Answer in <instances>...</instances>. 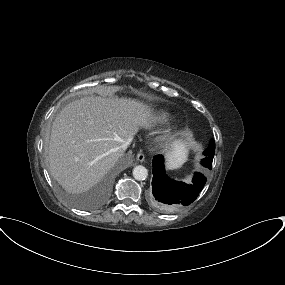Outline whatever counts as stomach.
Listing matches in <instances>:
<instances>
[{"mask_svg": "<svg viewBox=\"0 0 285 285\" xmlns=\"http://www.w3.org/2000/svg\"><path fill=\"white\" fill-rule=\"evenodd\" d=\"M186 159V153L180 158H171L169 159V167L177 168L179 167Z\"/></svg>", "mask_w": 285, "mask_h": 285, "instance_id": "1", "label": "stomach"}]
</instances>
